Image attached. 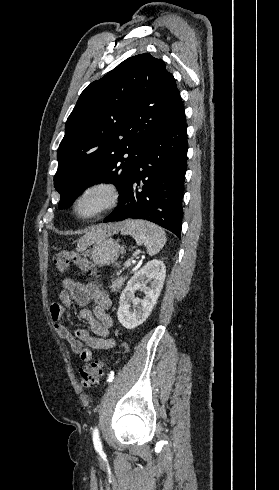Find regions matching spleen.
<instances>
[{
	"instance_id": "3e777b00",
	"label": "spleen",
	"mask_w": 279,
	"mask_h": 490,
	"mask_svg": "<svg viewBox=\"0 0 279 490\" xmlns=\"http://www.w3.org/2000/svg\"><path fill=\"white\" fill-rule=\"evenodd\" d=\"M121 234H130L136 240L137 246H145L149 256L158 254L166 242L164 230L146 220H126Z\"/></svg>"
}]
</instances>
